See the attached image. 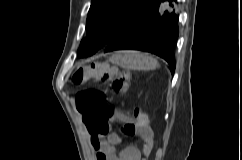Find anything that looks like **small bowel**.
Here are the masks:
<instances>
[{
  "label": "small bowel",
  "mask_w": 242,
  "mask_h": 160,
  "mask_svg": "<svg viewBox=\"0 0 242 160\" xmlns=\"http://www.w3.org/2000/svg\"><path fill=\"white\" fill-rule=\"evenodd\" d=\"M115 120L121 123L122 134L125 136H136L140 140L141 147L129 145L117 152L116 146L120 143V136L115 132L108 131L103 135L91 133L90 143L96 152V160H145L143 156L151 152L153 146V133L148 119L144 114L130 117L122 112H115ZM133 128L134 134H128V129Z\"/></svg>",
  "instance_id": "obj_1"
}]
</instances>
